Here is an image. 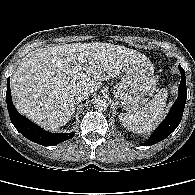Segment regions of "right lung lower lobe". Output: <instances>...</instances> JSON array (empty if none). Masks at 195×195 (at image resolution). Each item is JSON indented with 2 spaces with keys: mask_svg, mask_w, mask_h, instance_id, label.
Here are the masks:
<instances>
[{
  "mask_svg": "<svg viewBox=\"0 0 195 195\" xmlns=\"http://www.w3.org/2000/svg\"><path fill=\"white\" fill-rule=\"evenodd\" d=\"M6 102L11 122L15 128L29 140L43 146H53L67 139H71L74 136V133L46 132L20 115L12 103L9 78L7 80Z\"/></svg>",
  "mask_w": 195,
  "mask_h": 195,
  "instance_id": "98d812e1",
  "label": "right lung lower lobe"
}]
</instances>
